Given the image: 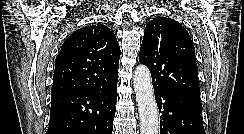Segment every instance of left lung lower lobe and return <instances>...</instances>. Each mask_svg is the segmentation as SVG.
<instances>
[{
  "instance_id": "obj_1",
  "label": "left lung lower lobe",
  "mask_w": 244,
  "mask_h": 134,
  "mask_svg": "<svg viewBox=\"0 0 244 134\" xmlns=\"http://www.w3.org/2000/svg\"><path fill=\"white\" fill-rule=\"evenodd\" d=\"M160 134H205L200 96L154 90Z\"/></svg>"
}]
</instances>
